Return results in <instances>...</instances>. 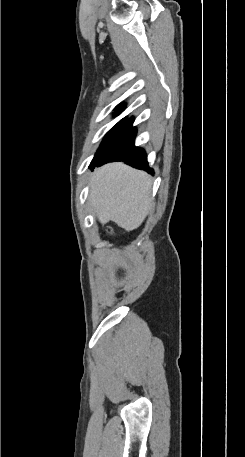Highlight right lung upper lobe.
Segmentation results:
<instances>
[{
	"mask_svg": "<svg viewBox=\"0 0 245 457\" xmlns=\"http://www.w3.org/2000/svg\"><path fill=\"white\" fill-rule=\"evenodd\" d=\"M124 107H125V105L123 103H121L115 108V110L116 111H121V110H123Z\"/></svg>",
	"mask_w": 245,
	"mask_h": 457,
	"instance_id": "cb5924a9",
	"label": "right lung upper lobe"
}]
</instances>
